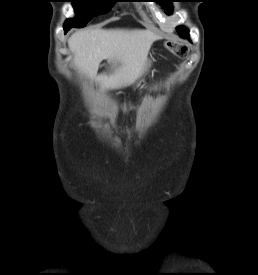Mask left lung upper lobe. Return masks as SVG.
Segmentation results:
<instances>
[{
  "label": "left lung upper lobe",
  "mask_w": 258,
  "mask_h": 275,
  "mask_svg": "<svg viewBox=\"0 0 258 275\" xmlns=\"http://www.w3.org/2000/svg\"><path fill=\"white\" fill-rule=\"evenodd\" d=\"M171 2H173V0H160V2H159L163 8H166V13L168 15L172 13V8H171V4H170ZM177 32L181 37L186 34H189L188 29H186L183 26L177 27Z\"/></svg>",
  "instance_id": "1"
}]
</instances>
